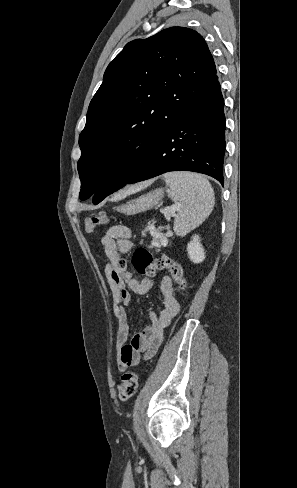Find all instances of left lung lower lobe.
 I'll list each match as a JSON object with an SVG mask.
<instances>
[{"mask_svg": "<svg viewBox=\"0 0 297 488\" xmlns=\"http://www.w3.org/2000/svg\"><path fill=\"white\" fill-rule=\"evenodd\" d=\"M223 108L224 99L218 83L172 127L127 184L169 171L185 170L209 175L223 185Z\"/></svg>", "mask_w": 297, "mask_h": 488, "instance_id": "obj_1", "label": "left lung lower lobe"}]
</instances>
